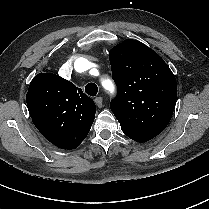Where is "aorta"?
Listing matches in <instances>:
<instances>
[{"label":"aorta","mask_w":209,"mask_h":209,"mask_svg":"<svg viewBox=\"0 0 209 209\" xmlns=\"http://www.w3.org/2000/svg\"><path fill=\"white\" fill-rule=\"evenodd\" d=\"M85 59L84 58H78L75 62V68H78L80 64L84 63ZM104 85L107 87H110V81L104 82Z\"/></svg>","instance_id":"obj_1"}]
</instances>
